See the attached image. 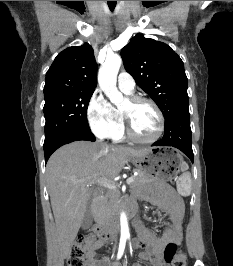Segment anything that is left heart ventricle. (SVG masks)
<instances>
[{
    "mask_svg": "<svg viewBox=\"0 0 233 266\" xmlns=\"http://www.w3.org/2000/svg\"><path fill=\"white\" fill-rule=\"evenodd\" d=\"M121 109L129 115L137 136L151 138L156 134L159 120L156 111L150 104L141 103L132 106L127 100Z\"/></svg>",
    "mask_w": 233,
    "mask_h": 266,
    "instance_id": "left-heart-ventricle-1",
    "label": "left heart ventricle"
}]
</instances>
